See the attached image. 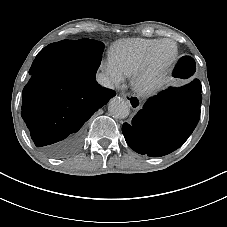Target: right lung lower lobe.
<instances>
[{
  "label": "right lung lower lobe",
  "instance_id": "right-lung-lower-lobe-1",
  "mask_svg": "<svg viewBox=\"0 0 227 227\" xmlns=\"http://www.w3.org/2000/svg\"><path fill=\"white\" fill-rule=\"evenodd\" d=\"M72 40L51 43L36 56L32 75L23 89L22 118L37 147L50 157L76 152L83 138L82 126L115 95L101 87L96 74L77 71L69 62Z\"/></svg>",
  "mask_w": 227,
  "mask_h": 227
}]
</instances>
